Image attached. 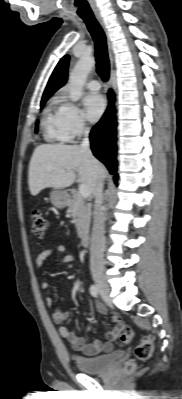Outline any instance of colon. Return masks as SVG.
Segmentation results:
<instances>
[{"mask_svg": "<svg viewBox=\"0 0 182 399\" xmlns=\"http://www.w3.org/2000/svg\"><path fill=\"white\" fill-rule=\"evenodd\" d=\"M48 230V222L46 218L39 212H34L31 216V232L37 238H42ZM134 335L132 327L122 325L120 330V341L123 344H128ZM153 339L150 336H144L139 344L136 346L135 355L139 360H147L153 352ZM135 370V363L129 362L126 364L125 371L130 373Z\"/></svg>", "mask_w": 182, "mask_h": 399, "instance_id": "1", "label": "colon"}]
</instances>
